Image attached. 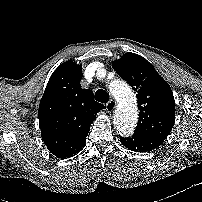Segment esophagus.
Masks as SVG:
<instances>
[{"mask_svg": "<svg viewBox=\"0 0 202 202\" xmlns=\"http://www.w3.org/2000/svg\"><path fill=\"white\" fill-rule=\"evenodd\" d=\"M117 103L114 100H110L107 104H106V110L107 112H112L114 111V109L116 108Z\"/></svg>", "mask_w": 202, "mask_h": 202, "instance_id": "obj_1", "label": "esophagus"}]
</instances>
